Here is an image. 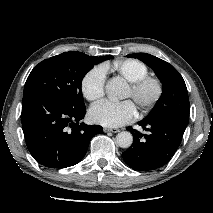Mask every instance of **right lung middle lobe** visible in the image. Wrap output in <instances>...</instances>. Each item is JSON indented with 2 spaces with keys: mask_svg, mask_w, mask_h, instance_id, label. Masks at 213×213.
Returning <instances> with one entry per match:
<instances>
[{
  "mask_svg": "<svg viewBox=\"0 0 213 213\" xmlns=\"http://www.w3.org/2000/svg\"><path fill=\"white\" fill-rule=\"evenodd\" d=\"M99 60L82 52L70 51L45 59L29 74L24 94L39 92L62 106L79 111L85 108L81 83L85 73Z\"/></svg>",
  "mask_w": 213,
  "mask_h": 213,
  "instance_id": "dd1d6c3e",
  "label": "right lung middle lobe"
}]
</instances>
